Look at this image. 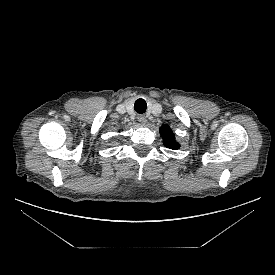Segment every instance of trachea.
Here are the masks:
<instances>
[{"mask_svg": "<svg viewBox=\"0 0 275 275\" xmlns=\"http://www.w3.org/2000/svg\"><path fill=\"white\" fill-rule=\"evenodd\" d=\"M146 108H147V103L144 99L139 98L136 100V102L134 104V109L137 113H139V114L145 113Z\"/></svg>", "mask_w": 275, "mask_h": 275, "instance_id": "3493384b", "label": "trachea"}]
</instances>
